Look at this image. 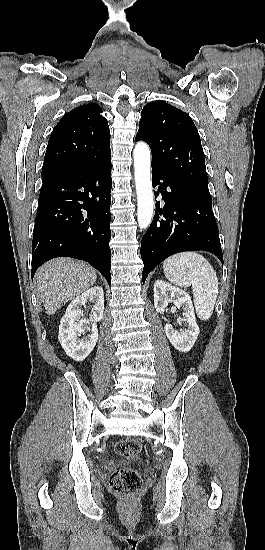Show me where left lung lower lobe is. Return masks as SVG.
Returning <instances> with one entry per match:
<instances>
[{"label":"left lung lower lobe","instance_id":"left-lung-lower-lobe-1","mask_svg":"<svg viewBox=\"0 0 265 550\" xmlns=\"http://www.w3.org/2000/svg\"><path fill=\"white\" fill-rule=\"evenodd\" d=\"M152 185L158 187L155 197L161 193L165 205L160 208L156 202L154 220L142 238L143 283L159 263L178 252L204 250L223 263L211 196L170 177L155 165Z\"/></svg>","mask_w":265,"mask_h":550}]
</instances>
